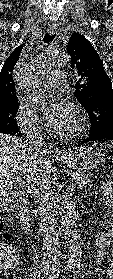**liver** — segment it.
Returning a JSON list of instances; mask_svg holds the SVG:
<instances>
[{
    "instance_id": "liver-1",
    "label": "liver",
    "mask_w": 113,
    "mask_h": 279,
    "mask_svg": "<svg viewBox=\"0 0 113 279\" xmlns=\"http://www.w3.org/2000/svg\"><path fill=\"white\" fill-rule=\"evenodd\" d=\"M50 164L44 156L36 155L16 136L0 134V211L8 206L16 178L25 179L30 186H39L50 178Z\"/></svg>"
}]
</instances>
